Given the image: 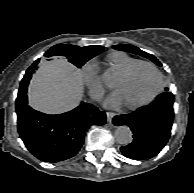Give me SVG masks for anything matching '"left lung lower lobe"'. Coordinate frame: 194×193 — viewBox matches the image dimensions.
Wrapping results in <instances>:
<instances>
[{
  "mask_svg": "<svg viewBox=\"0 0 194 193\" xmlns=\"http://www.w3.org/2000/svg\"><path fill=\"white\" fill-rule=\"evenodd\" d=\"M173 103V94L165 92L151 105L113 118L114 125H127L133 133V141L120 148L124 156L136 160H147L163 149L171 135L174 117Z\"/></svg>",
  "mask_w": 194,
  "mask_h": 193,
  "instance_id": "left-lung-lower-lobe-1",
  "label": "left lung lower lobe"
}]
</instances>
